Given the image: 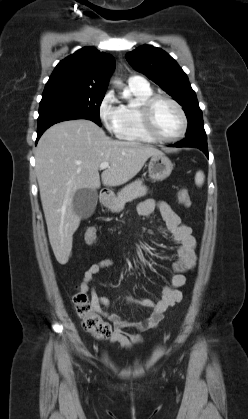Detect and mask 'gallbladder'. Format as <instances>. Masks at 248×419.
I'll return each instance as SVG.
<instances>
[{
  "mask_svg": "<svg viewBox=\"0 0 248 419\" xmlns=\"http://www.w3.org/2000/svg\"><path fill=\"white\" fill-rule=\"evenodd\" d=\"M98 193L89 188L78 190L73 198V210L81 218H89L97 205Z\"/></svg>",
  "mask_w": 248,
  "mask_h": 419,
  "instance_id": "obj_1",
  "label": "gallbladder"
}]
</instances>
